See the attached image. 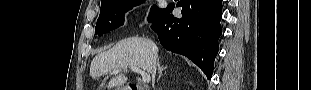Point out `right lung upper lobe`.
<instances>
[{"instance_id": "1", "label": "right lung upper lobe", "mask_w": 311, "mask_h": 90, "mask_svg": "<svg viewBox=\"0 0 311 90\" xmlns=\"http://www.w3.org/2000/svg\"><path fill=\"white\" fill-rule=\"evenodd\" d=\"M106 1H108V0H102V1H101V4H102V3H105Z\"/></svg>"}]
</instances>
